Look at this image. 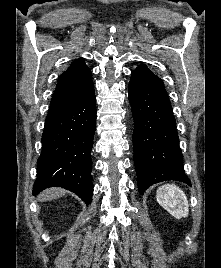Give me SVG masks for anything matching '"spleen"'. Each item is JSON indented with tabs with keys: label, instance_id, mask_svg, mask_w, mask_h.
<instances>
[{
	"label": "spleen",
	"instance_id": "obj_1",
	"mask_svg": "<svg viewBox=\"0 0 221 268\" xmlns=\"http://www.w3.org/2000/svg\"><path fill=\"white\" fill-rule=\"evenodd\" d=\"M158 203L176 219L185 218L189 213V204L184 192L174 184L163 185L157 190Z\"/></svg>",
	"mask_w": 221,
	"mask_h": 268
}]
</instances>
